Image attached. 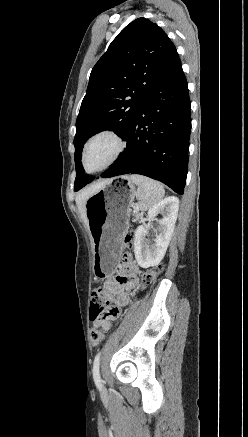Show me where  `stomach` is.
Returning <instances> with one entry per match:
<instances>
[{
	"mask_svg": "<svg viewBox=\"0 0 248 437\" xmlns=\"http://www.w3.org/2000/svg\"><path fill=\"white\" fill-rule=\"evenodd\" d=\"M135 192L130 177L121 176L108 181L86 201L87 224L98 278L109 277L115 272Z\"/></svg>",
	"mask_w": 248,
	"mask_h": 437,
	"instance_id": "obj_1",
	"label": "stomach"
}]
</instances>
